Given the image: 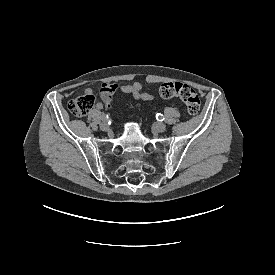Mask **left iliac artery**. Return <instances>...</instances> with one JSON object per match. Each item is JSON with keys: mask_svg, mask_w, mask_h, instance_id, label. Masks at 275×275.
<instances>
[{"mask_svg": "<svg viewBox=\"0 0 275 275\" xmlns=\"http://www.w3.org/2000/svg\"><path fill=\"white\" fill-rule=\"evenodd\" d=\"M156 118H157L159 121H163V120H164L163 114H160V113L156 114Z\"/></svg>", "mask_w": 275, "mask_h": 275, "instance_id": "left-iliac-artery-1", "label": "left iliac artery"}]
</instances>
